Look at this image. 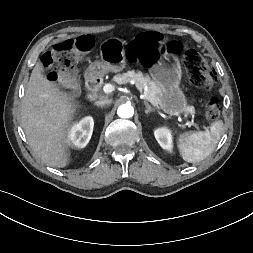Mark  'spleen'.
Masks as SVG:
<instances>
[{"label":"spleen","instance_id":"1","mask_svg":"<svg viewBox=\"0 0 253 253\" xmlns=\"http://www.w3.org/2000/svg\"><path fill=\"white\" fill-rule=\"evenodd\" d=\"M223 132V122L216 121L210 129L201 132H186L178 138V149L183 160L196 163L208 157L216 148Z\"/></svg>","mask_w":253,"mask_h":253}]
</instances>
